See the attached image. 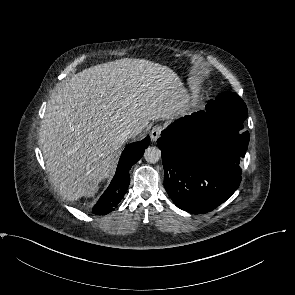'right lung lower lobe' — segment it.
Masks as SVG:
<instances>
[{
    "instance_id": "right-lung-lower-lobe-1",
    "label": "right lung lower lobe",
    "mask_w": 295,
    "mask_h": 295,
    "mask_svg": "<svg viewBox=\"0 0 295 295\" xmlns=\"http://www.w3.org/2000/svg\"><path fill=\"white\" fill-rule=\"evenodd\" d=\"M149 144V137H146L142 141L131 143L125 147L112 182L93 208L94 214L105 215L114 210L128 189L129 170L142 157Z\"/></svg>"
}]
</instances>
